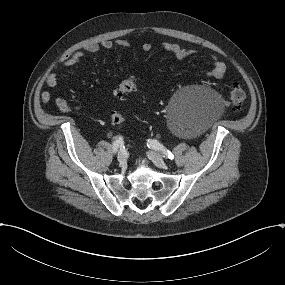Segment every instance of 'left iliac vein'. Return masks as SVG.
Here are the masks:
<instances>
[{
  "instance_id": "1",
  "label": "left iliac vein",
  "mask_w": 285,
  "mask_h": 285,
  "mask_svg": "<svg viewBox=\"0 0 285 285\" xmlns=\"http://www.w3.org/2000/svg\"><path fill=\"white\" fill-rule=\"evenodd\" d=\"M147 156L159 168H163V169L167 168V164L165 163V161L159 154L155 153L154 151H149L147 153Z\"/></svg>"
}]
</instances>
